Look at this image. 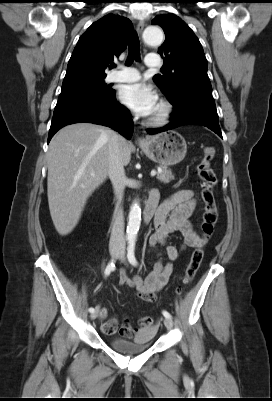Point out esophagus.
<instances>
[{"mask_svg": "<svg viewBox=\"0 0 272 401\" xmlns=\"http://www.w3.org/2000/svg\"><path fill=\"white\" fill-rule=\"evenodd\" d=\"M144 26H145L144 20H139L138 23H137V27H136L137 32H138L139 35L142 34ZM145 143H146V139L145 138L141 137V138L138 139V144L141 145V144H145Z\"/></svg>", "mask_w": 272, "mask_h": 401, "instance_id": "1", "label": "esophagus"}]
</instances>
